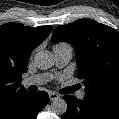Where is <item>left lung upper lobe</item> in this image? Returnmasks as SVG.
I'll return each mask as SVG.
<instances>
[{
	"label": "left lung upper lobe",
	"instance_id": "obj_1",
	"mask_svg": "<svg viewBox=\"0 0 119 119\" xmlns=\"http://www.w3.org/2000/svg\"><path fill=\"white\" fill-rule=\"evenodd\" d=\"M51 41H66L75 47L78 77L87 95L119 102V32L82 19L58 26Z\"/></svg>",
	"mask_w": 119,
	"mask_h": 119
}]
</instances>
